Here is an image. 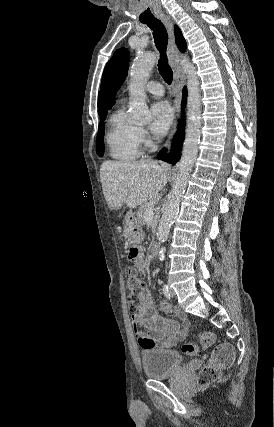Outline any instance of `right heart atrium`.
<instances>
[{
    "label": "right heart atrium",
    "mask_w": 274,
    "mask_h": 427,
    "mask_svg": "<svg viewBox=\"0 0 274 427\" xmlns=\"http://www.w3.org/2000/svg\"><path fill=\"white\" fill-rule=\"evenodd\" d=\"M140 139L143 143L147 142V134L143 130L140 131Z\"/></svg>",
    "instance_id": "d8ad5b80"
}]
</instances>
